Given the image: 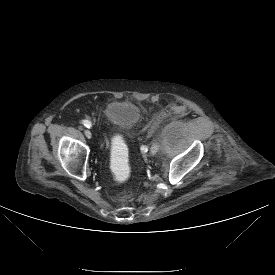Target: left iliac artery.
Wrapping results in <instances>:
<instances>
[{
  "label": "left iliac artery",
  "instance_id": "44dca946",
  "mask_svg": "<svg viewBox=\"0 0 275 275\" xmlns=\"http://www.w3.org/2000/svg\"><path fill=\"white\" fill-rule=\"evenodd\" d=\"M142 149H143L145 152L147 151V147H143Z\"/></svg>",
  "mask_w": 275,
  "mask_h": 275
}]
</instances>
